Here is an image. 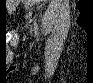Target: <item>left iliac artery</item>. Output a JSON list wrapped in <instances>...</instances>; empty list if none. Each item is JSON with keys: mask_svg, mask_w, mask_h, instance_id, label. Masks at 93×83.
<instances>
[{"mask_svg": "<svg viewBox=\"0 0 93 83\" xmlns=\"http://www.w3.org/2000/svg\"><path fill=\"white\" fill-rule=\"evenodd\" d=\"M34 20V31H35V36L38 38L39 31H38V24L36 23V19L33 18Z\"/></svg>", "mask_w": 93, "mask_h": 83, "instance_id": "44dca946", "label": "left iliac artery"}]
</instances>
